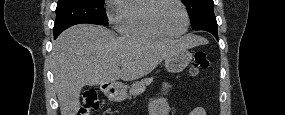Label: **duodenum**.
I'll return each mask as SVG.
<instances>
[{"instance_id":"duodenum-1","label":"duodenum","mask_w":285,"mask_h":115,"mask_svg":"<svg viewBox=\"0 0 285 115\" xmlns=\"http://www.w3.org/2000/svg\"><path fill=\"white\" fill-rule=\"evenodd\" d=\"M106 88L109 90L114 89V88H116V84H110Z\"/></svg>"}]
</instances>
